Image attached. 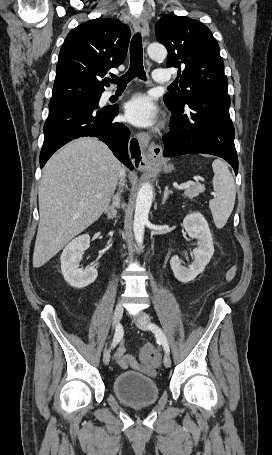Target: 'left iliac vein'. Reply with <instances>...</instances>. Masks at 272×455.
<instances>
[{
	"label": "left iliac vein",
	"mask_w": 272,
	"mask_h": 455,
	"mask_svg": "<svg viewBox=\"0 0 272 455\" xmlns=\"http://www.w3.org/2000/svg\"><path fill=\"white\" fill-rule=\"evenodd\" d=\"M135 323L140 329L149 330L151 319L145 312H140L135 319ZM163 363L166 368H169L171 366V359L168 353L164 355Z\"/></svg>",
	"instance_id": "1"
}]
</instances>
